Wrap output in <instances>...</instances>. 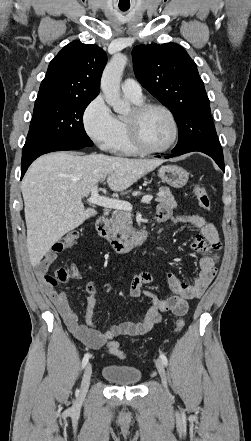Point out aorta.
Here are the masks:
<instances>
[{"instance_id":"1","label":"aorta","mask_w":251,"mask_h":441,"mask_svg":"<svg viewBox=\"0 0 251 441\" xmlns=\"http://www.w3.org/2000/svg\"><path fill=\"white\" fill-rule=\"evenodd\" d=\"M126 63L125 55L115 54L106 65L101 78V90L105 101L116 113L122 115L130 111V104L120 96V81Z\"/></svg>"}]
</instances>
